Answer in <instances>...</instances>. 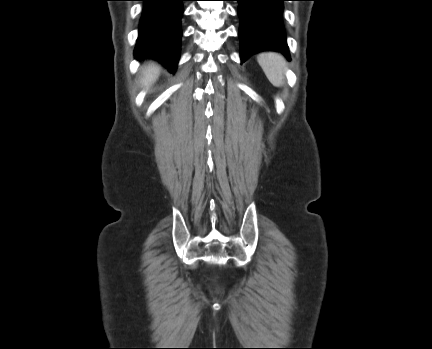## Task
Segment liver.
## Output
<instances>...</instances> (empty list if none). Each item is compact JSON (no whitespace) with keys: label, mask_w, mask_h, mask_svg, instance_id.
Returning a JSON list of instances; mask_svg holds the SVG:
<instances>
[{"label":"liver","mask_w":432,"mask_h":349,"mask_svg":"<svg viewBox=\"0 0 432 349\" xmlns=\"http://www.w3.org/2000/svg\"><path fill=\"white\" fill-rule=\"evenodd\" d=\"M159 73H160V66L157 63L153 61L146 62L144 67L142 68L143 86L152 85V83H154L158 78Z\"/></svg>","instance_id":"liver-1"}]
</instances>
